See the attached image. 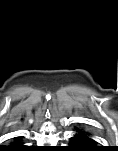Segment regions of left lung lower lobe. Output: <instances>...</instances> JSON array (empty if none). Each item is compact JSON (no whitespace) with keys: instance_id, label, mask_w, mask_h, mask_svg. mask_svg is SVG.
Instances as JSON below:
<instances>
[{"instance_id":"left-lung-lower-lobe-1","label":"left lung lower lobe","mask_w":118,"mask_h":151,"mask_svg":"<svg viewBox=\"0 0 118 151\" xmlns=\"http://www.w3.org/2000/svg\"><path fill=\"white\" fill-rule=\"evenodd\" d=\"M68 151H99L94 145V141L89 134L82 130H76L75 135L71 138Z\"/></svg>"}]
</instances>
